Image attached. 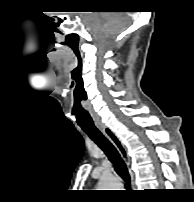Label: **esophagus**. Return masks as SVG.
<instances>
[{
    "mask_svg": "<svg viewBox=\"0 0 194 202\" xmlns=\"http://www.w3.org/2000/svg\"><path fill=\"white\" fill-rule=\"evenodd\" d=\"M97 127L102 131V133L113 143L116 147L118 152L120 153L121 157L123 158L124 162L129 168L131 173L132 181H133V173L130 170V157L128 155L127 149L124 144L121 142L119 137L114 133V131L104 124H97Z\"/></svg>",
    "mask_w": 194,
    "mask_h": 202,
    "instance_id": "obj_1",
    "label": "esophagus"
}]
</instances>
